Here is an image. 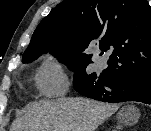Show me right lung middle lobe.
I'll use <instances>...</instances> for the list:
<instances>
[{"mask_svg": "<svg viewBox=\"0 0 151 131\" xmlns=\"http://www.w3.org/2000/svg\"><path fill=\"white\" fill-rule=\"evenodd\" d=\"M47 51H50L59 61L65 63L72 71H75L74 78L98 76L96 73L87 74L85 71L88 64L91 63L90 57L80 54L73 47L64 44L29 46L23 54L22 61L29 63ZM101 74L103 75V73Z\"/></svg>", "mask_w": 151, "mask_h": 131, "instance_id": "1", "label": "right lung middle lobe"}]
</instances>
